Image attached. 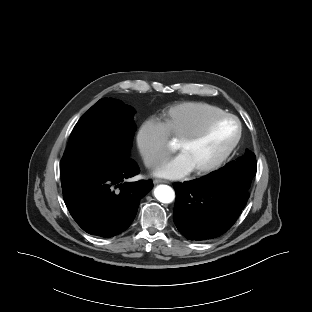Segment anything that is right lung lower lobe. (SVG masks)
<instances>
[{"label":"right lung lower lobe","instance_id":"98d812e1","mask_svg":"<svg viewBox=\"0 0 312 312\" xmlns=\"http://www.w3.org/2000/svg\"><path fill=\"white\" fill-rule=\"evenodd\" d=\"M138 173L137 164L127 158L63 189L71 216L92 235L109 238L125 231L136 216L141 198L153 187L151 180L124 182Z\"/></svg>","mask_w":312,"mask_h":312}]
</instances>
